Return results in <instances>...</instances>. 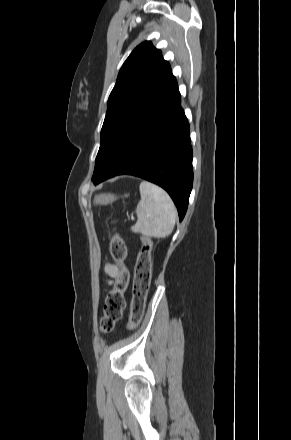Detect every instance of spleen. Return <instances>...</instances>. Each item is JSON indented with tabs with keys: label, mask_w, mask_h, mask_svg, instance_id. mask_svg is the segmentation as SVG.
<instances>
[{
	"label": "spleen",
	"mask_w": 291,
	"mask_h": 440,
	"mask_svg": "<svg viewBox=\"0 0 291 440\" xmlns=\"http://www.w3.org/2000/svg\"><path fill=\"white\" fill-rule=\"evenodd\" d=\"M139 189L141 200L136 208L138 219L131 230L154 238L169 236L177 216L172 199L165 190L148 181H142Z\"/></svg>",
	"instance_id": "obj_1"
}]
</instances>
